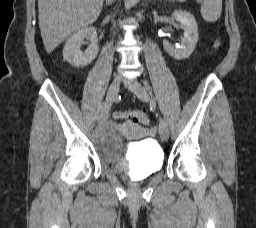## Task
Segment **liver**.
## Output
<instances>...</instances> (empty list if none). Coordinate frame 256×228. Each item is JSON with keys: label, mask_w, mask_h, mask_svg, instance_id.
<instances>
[{"label": "liver", "mask_w": 256, "mask_h": 228, "mask_svg": "<svg viewBox=\"0 0 256 228\" xmlns=\"http://www.w3.org/2000/svg\"><path fill=\"white\" fill-rule=\"evenodd\" d=\"M104 0H38L39 28L50 54L66 38L95 22Z\"/></svg>", "instance_id": "1"}]
</instances>
